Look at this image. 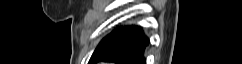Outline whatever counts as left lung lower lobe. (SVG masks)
<instances>
[{"mask_svg":"<svg viewBox=\"0 0 242 64\" xmlns=\"http://www.w3.org/2000/svg\"><path fill=\"white\" fill-rule=\"evenodd\" d=\"M148 44L140 26L119 27L100 42L89 63L145 64L143 54Z\"/></svg>","mask_w":242,"mask_h":64,"instance_id":"obj_1","label":"left lung lower lobe"}]
</instances>
